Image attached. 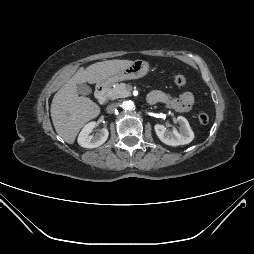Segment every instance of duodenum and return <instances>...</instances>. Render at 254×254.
<instances>
[{
  "label": "duodenum",
  "instance_id": "410a0bca",
  "mask_svg": "<svg viewBox=\"0 0 254 254\" xmlns=\"http://www.w3.org/2000/svg\"><path fill=\"white\" fill-rule=\"evenodd\" d=\"M95 97L99 104H104L107 100V86L104 84L98 85L95 91Z\"/></svg>",
  "mask_w": 254,
  "mask_h": 254
}]
</instances>
